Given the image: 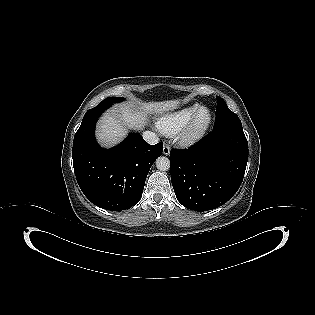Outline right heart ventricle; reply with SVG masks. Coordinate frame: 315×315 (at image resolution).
Returning <instances> with one entry per match:
<instances>
[{"mask_svg":"<svg viewBox=\"0 0 315 315\" xmlns=\"http://www.w3.org/2000/svg\"><path fill=\"white\" fill-rule=\"evenodd\" d=\"M199 107L194 103L164 114L157 121L158 129L169 136L179 133Z\"/></svg>","mask_w":315,"mask_h":315,"instance_id":"obj_1","label":"right heart ventricle"}]
</instances>
